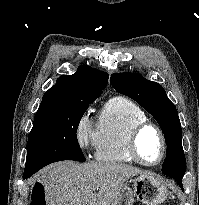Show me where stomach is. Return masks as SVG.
Masks as SVG:
<instances>
[{"instance_id": "stomach-1", "label": "stomach", "mask_w": 199, "mask_h": 205, "mask_svg": "<svg viewBox=\"0 0 199 205\" xmlns=\"http://www.w3.org/2000/svg\"><path fill=\"white\" fill-rule=\"evenodd\" d=\"M130 183L124 184L112 205H132L135 200L145 205H161L167 198V187L154 176L142 174Z\"/></svg>"}]
</instances>
